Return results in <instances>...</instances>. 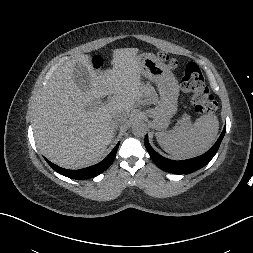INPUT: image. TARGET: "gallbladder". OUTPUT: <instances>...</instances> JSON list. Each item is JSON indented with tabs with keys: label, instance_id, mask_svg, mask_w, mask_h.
Listing matches in <instances>:
<instances>
[{
	"label": "gallbladder",
	"instance_id": "gallbladder-1",
	"mask_svg": "<svg viewBox=\"0 0 253 253\" xmlns=\"http://www.w3.org/2000/svg\"><path fill=\"white\" fill-rule=\"evenodd\" d=\"M73 78L77 87L85 92L90 87V76L87 68L81 63H76Z\"/></svg>",
	"mask_w": 253,
	"mask_h": 253
}]
</instances>
